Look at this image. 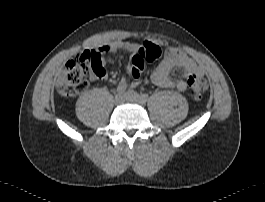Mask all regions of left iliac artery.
<instances>
[{
    "label": "left iliac artery",
    "mask_w": 265,
    "mask_h": 202,
    "mask_svg": "<svg viewBox=\"0 0 265 202\" xmlns=\"http://www.w3.org/2000/svg\"><path fill=\"white\" fill-rule=\"evenodd\" d=\"M141 99L144 101V102H146L147 100H148V98H149V96H148V94H141Z\"/></svg>",
    "instance_id": "obj_1"
}]
</instances>
